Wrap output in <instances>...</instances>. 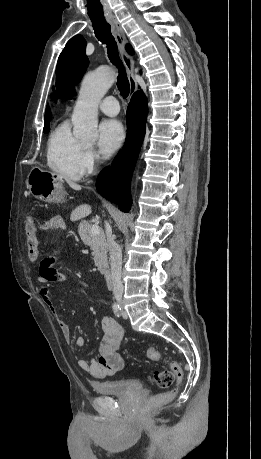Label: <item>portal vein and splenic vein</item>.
Wrapping results in <instances>:
<instances>
[{
	"label": "portal vein and splenic vein",
	"mask_w": 261,
	"mask_h": 459,
	"mask_svg": "<svg viewBox=\"0 0 261 459\" xmlns=\"http://www.w3.org/2000/svg\"><path fill=\"white\" fill-rule=\"evenodd\" d=\"M99 232H100V228H99L98 225H93L91 227V234L92 235H97V234H99Z\"/></svg>",
	"instance_id": "obj_1"
}]
</instances>
